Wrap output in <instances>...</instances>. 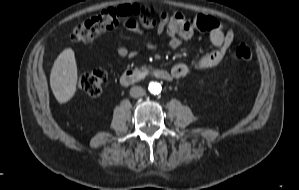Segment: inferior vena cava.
Masks as SVG:
<instances>
[{"mask_svg":"<svg viewBox=\"0 0 299 190\" xmlns=\"http://www.w3.org/2000/svg\"><path fill=\"white\" fill-rule=\"evenodd\" d=\"M130 95L133 98H139L145 95V90L140 86H133L130 89Z\"/></svg>","mask_w":299,"mask_h":190,"instance_id":"inferior-vena-cava-1","label":"inferior vena cava"}]
</instances>
